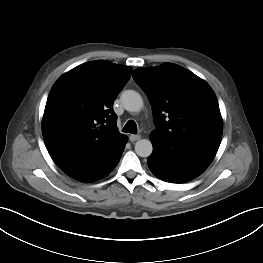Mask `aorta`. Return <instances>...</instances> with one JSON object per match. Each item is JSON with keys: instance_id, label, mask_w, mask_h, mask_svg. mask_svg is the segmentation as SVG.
Listing matches in <instances>:
<instances>
[{"instance_id": "obj_1", "label": "aorta", "mask_w": 263, "mask_h": 263, "mask_svg": "<svg viewBox=\"0 0 263 263\" xmlns=\"http://www.w3.org/2000/svg\"><path fill=\"white\" fill-rule=\"evenodd\" d=\"M123 107L129 112H138L143 107L141 95L134 90H126L121 94ZM153 146L150 140L141 139L135 144V152L140 157H149L152 154Z\"/></svg>"}]
</instances>
